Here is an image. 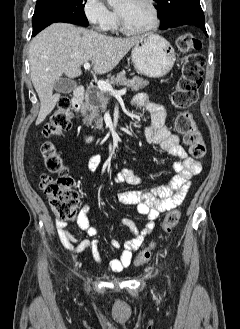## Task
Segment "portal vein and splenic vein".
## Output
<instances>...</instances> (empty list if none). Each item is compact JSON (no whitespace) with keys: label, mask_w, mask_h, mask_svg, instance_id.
<instances>
[{"label":"portal vein and splenic vein","mask_w":240,"mask_h":329,"mask_svg":"<svg viewBox=\"0 0 240 329\" xmlns=\"http://www.w3.org/2000/svg\"><path fill=\"white\" fill-rule=\"evenodd\" d=\"M85 69H90V64L88 62L84 63ZM98 88L106 93H109L110 95L116 96V95H122L126 93V89L122 90H114L111 84H109L107 81L99 80L97 82Z\"/></svg>","instance_id":"18ae733b"}]
</instances>
